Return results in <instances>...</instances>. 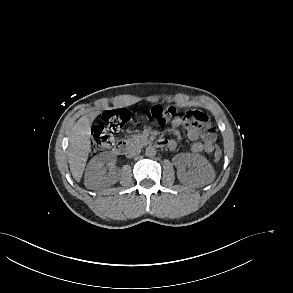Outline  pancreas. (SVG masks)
Masks as SVG:
<instances>
[{
    "label": "pancreas",
    "instance_id": "obj_1",
    "mask_svg": "<svg viewBox=\"0 0 293 293\" xmlns=\"http://www.w3.org/2000/svg\"><path fill=\"white\" fill-rule=\"evenodd\" d=\"M127 141L129 144L136 145V146H142L149 142L147 135L144 133L134 135L132 138H129Z\"/></svg>",
    "mask_w": 293,
    "mask_h": 293
}]
</instances>
